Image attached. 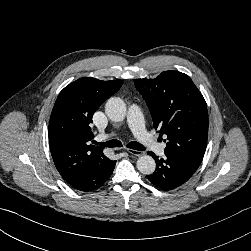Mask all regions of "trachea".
Here are the masks:
<instances>
[{"mask_svg":"<svg viewBox=\"0 0 251 251\" xmlns=\"http://www.w3.org/2000/svg\"><path fill=\"white\" fill-rule=\"evenodd\" d=\"M100 145L105 146V147H110V148L122 147L121 141L116 140V139L109 140V141L104 142V143H100ZM127 147L130 148V149H133V150H139V151H144L145 150V147L143 145H141L140 143L135 142V141L129 142L127 144Z\"/></svg>","mask_w":251,"mask_h":251,"instance_id":"1","label":"trachea"}]
</instances>
